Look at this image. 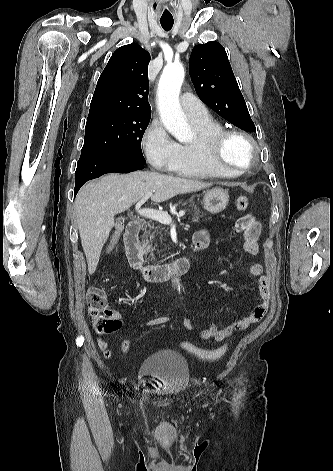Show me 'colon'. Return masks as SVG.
<instances>
[{"instance_id":"colon-1","label":"colon","mask_w":333,"mask_h":471,"mask_svg":"<svg viewBox=\"0 0 333 471\" xmlns=\"http://www.w3.org/2000/svg\"><path fill=\"white\" fill-rule=\"evenodd\" d=\"M248 205L249 199L245 195L238 197L235 203V207L238 211L245 210ZM121 231L122 225L117 224L110 242V249L114 247ZM87 306L89 313L92 316L94 326L99 333H108L119 328L121 322L108 310L107 297L104 290L96 287L91 288L87 293ZM180 347L202 360L210 361L220 359L225 355L228 349L227 344H224L217 349H203L188 341H182L180 343ZM121 348L125 354H128L132 349V341L130 339H125L121 344Z\"/></svg>"}]
</instances>
